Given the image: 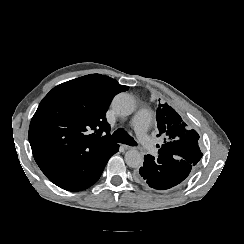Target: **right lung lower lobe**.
<instances>
[{
  "mask_svg": "<svg viewBox=\"0 0 244 244\" xmlns=\"http://www.w3.org/2000/svg\"><path fill=\"white\" fill-rule=\"evenodd\" d=\"M118 150L119 145L115 143L108 148L83 154L72 162L48 170L44 174L62 189L81 191L100 178L107 161Z\"/></svg>",
  "mask_w": 244,
  "mask_h": 244,
  "instance_id": "1",
  "label": "right lung lower lobe"
}]
</instances>
